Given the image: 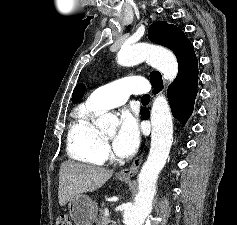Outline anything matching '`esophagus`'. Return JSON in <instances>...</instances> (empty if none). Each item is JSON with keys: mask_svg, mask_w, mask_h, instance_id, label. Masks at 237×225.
I'll list each match as a JSON object with an SVG mask.
<instances>
[{"mask_svg": "<svg viewBox=\"0 0 237 225\" xmlns=\"http://www.w3.org/2000/svg\"><path fill=\"white\" fill-rule=\"evenodd\" d=\"M143 155L144 153H141L139 154L132 162L131 166L128 167V168H125L123 170H121L119 173H118V176L121 177V178H131L133 176H135L138 171H139V168L142 164V161H143Z\"/></svg>", "mask_w": 237, "mask_h": 225, "instance_id": "34e87169", "label": "esophagus"}]
</instances>
